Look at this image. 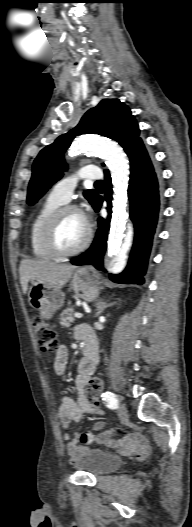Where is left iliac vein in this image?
Here are the masks:
<instances>
[{"instance_id":"left-iliac-vein-1","label":"left iliac vein","mask_w":192,"mask_h":527,"mask_svg":"<svg viewBox=\"0 0 192 527\" xmlns=\"http://www.w3.org/2000/svg\"><path fill=\"white\" fill-rule=\"evenodd\" d=\"M117 414L122 421H126L128 419V411L123 404L118 407Z\"/></svg>"}]
</instances>
